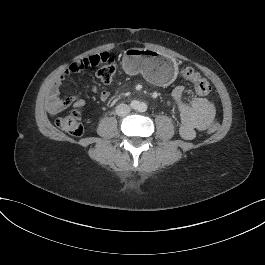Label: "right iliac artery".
Returning <instances> with one entry per match:
<instances>
[{"label": "right iliac artery", "instance_id": "right-iliac-artery-1", "mask_svg": "<svg viewBox=\"0 0 265 265\" xmlns=\"http://www.w3.org/2000/svg\"><path fill=\"white\" fill-rule=\"evenodd\" d=\"M131 107L134 108V109H136V108L139 107V103L137 101H132L131 102Z\"/></svg>", "mask_w": 265, "mask_h": 265}]
</instances>
